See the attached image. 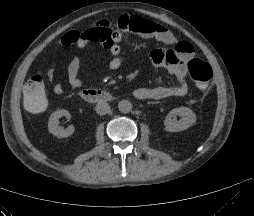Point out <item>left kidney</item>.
<instances>
[{
  "mask_svg": "<svg viewBox=\"0 0 254 216\" xmlns=\"http://www.w3.org/2000/svg\"><path fill=\"white\" fill-rule=\"evenodd\" d=\"M181 116L180 120L176 116ZM196 121V114L188 107L172 109L164 120L165 129L169 132H179L191 127Z\"/></svg>",
  "mask_w": 254,
  "mask_h": 216,
  "instance_id": "1",
  "label": "left kidney"
}]
</instances>
